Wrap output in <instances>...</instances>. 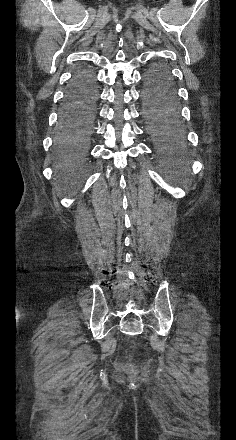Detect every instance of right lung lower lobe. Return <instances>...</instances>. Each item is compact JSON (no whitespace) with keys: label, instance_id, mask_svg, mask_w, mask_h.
I'll list each match as a JSON object with an SVG mask.
<instances>
[{"label":"right lung lower lobe","instance_id":"right-lung-lower-lobe-1","mask_svg":"<svg viewBox=\"0 0 236 440\" xmlns=\"http://www.w3.org/2000/svg\"><path fill=\"white\" fill-rule=\"evenodd\" d=\"M95 83V78L90 70L78 72L67 91L65 104L60 114L59 130H65L75 127L81 120L80 109L83 104V100L79 97L81 89L86 83ZM75 93V98H71V95Z\"/></svg>","mask_w":236,"mask_h":440}]
</instances>
